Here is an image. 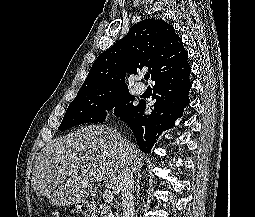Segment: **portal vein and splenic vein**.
<instances>
[{
  "instance_id": "18ae733b",
  "label": "portal vein and splenic vein",
  "mask_w": 255,
  "mask_h": 217,
  "mask_svg": "<svg viewBox=\"0 0 255 217\" xmlns=\"http://www.w3.org/2000/svg\"><path fill=\"white\" fill-rule=\"evenodd\" d=\"M71 174H72V171L67 172V175H71ZM94 179H96L97 181H102L101 175H94ZM103 199L106 203L113 202L114 196L112 191L109 189H105L103 193Z\"/></svg>"
}]
</instances>
